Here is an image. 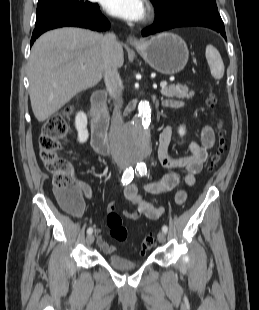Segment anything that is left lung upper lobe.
Here are the masks:
<instances>
[{"label": "left lung upper lobe", "instance_id": "1", "mask_svg": "<svg viewBox=\"0 0 259 310\" xmlns=\"http://www.w3.org/2000/svg\"><path fill=\"white\" fill-rule=\"evenodd\" d=\"M156 8L155 23L164 22L194 10L217 11L215 0H151Z\"/></svg>", "mask_w": 259, "mask_h": 310}]
</instances>
